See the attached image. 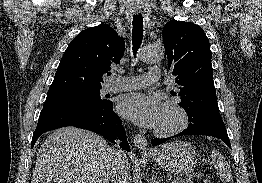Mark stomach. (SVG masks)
Segmentation results:
<instances>
[{
  "instance_id": "0dacf381",
  "label": "stomach",
  "mask_w": 262,
  "mask_h": 183,
  "mask_svg": "<svg viewBox=\"0 0 262 183\" xmlns=\"http://www.w3.org/2000/svg\"><path fill=\"white\" fill-rule=\"evenodd\" d=\"M150 156L165 171L184 175L190 173L197 164L194 147L183 141H173L156 148Z\"/></svg>"
}]
</instances>
